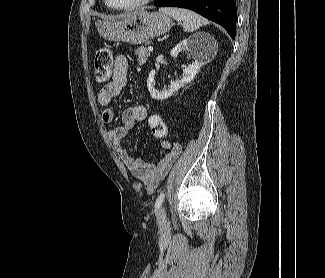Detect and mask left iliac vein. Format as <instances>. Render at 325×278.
Segmentation results:
<instances>
[{
  "label": "left iliac vein",
  "mask_w": 325,
  "mask_h": 278,
  "mask_svg": "<svg viewBox=\"0 0 325 278\" xmlns=\"http://www.w3.org/2000/svg\"><path fill=\"white\" fill-rule=\"evenodd\" d=\"M158 221L159 223H166V214H165V209L161 208L158 216Z\"/></svg>",
  "instance_id": "obj_1"
}]
</instances>
